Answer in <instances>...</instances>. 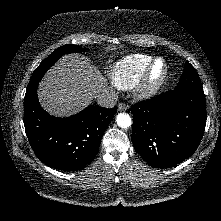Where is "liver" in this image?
<instances>
[{
	"mask_svg": "<svg viewBox=\"0 0 221 221\" xmlns=\"http://www.w3.org/2000/svg\"><path fill=\"white\" fill-rule=\"evenodd\" d=\"M107 78L86 57L63 56L41 80L38 90L41 106L57 117L73 115L87 107Z\"/></svg>",
	"mask_w": 221,
	"mask_h": 221,
	"instance_id": "liver-1",
	"label": "liver"
}]
</instances>
